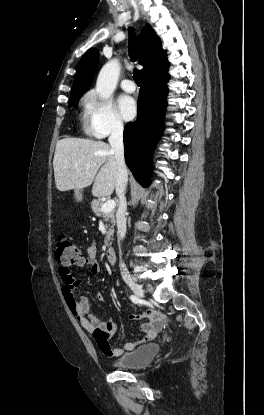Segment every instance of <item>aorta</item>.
Masks as SVG:
<instances>
[{
  "label": "aorta",
  "instance_id": "1",
  "mask_svg": "<svg viewBox=\"0 0 264 415\" xmlns=\"http://www.w3.org/2000/svg\"><path fill=\"white\" fill-rule=\"evenodd\" d=\"M120 74L118 59L108 61L101 69L97 82L96 92L102 99H107L114 92Z\"/></svg>",
  "mask_w": 264,
  "mask_h": 415
}]
</instances>
